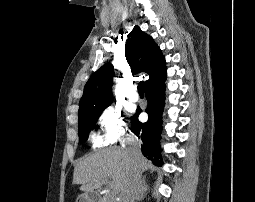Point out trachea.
I'll use <instances>...</instances> for the list:
<instances>
[{"mask_svg":"<svg viewBox=\"0 0 255 202\" xmlns=\"http://www.w3.org/2000/svg\"><path fill=\"white\" fill-rule=\"evenodd\" d=\"M143 85H144L143 81H141V82H139L138 87H137L138 88V93L141 94V95L144 94Z\"/></svg>","mask_w":255,"mask_h":202,"instance_id":"obj_1","label":"trachea"}]
</instances>
